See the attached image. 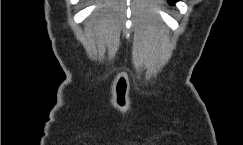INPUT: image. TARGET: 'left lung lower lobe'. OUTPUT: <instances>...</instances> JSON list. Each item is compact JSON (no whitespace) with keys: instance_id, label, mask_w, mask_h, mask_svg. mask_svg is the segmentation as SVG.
Returning <instances> with one entry per match:
<instances>
[{"instance_id":"0a47b994","label":"left lung lower lobe","mask_w":243,"mask_h":145,"mask_svg":"<svg viewBox=\"0 0 243 145\" xmlns=\"http://www.w3.org/2000/svg\"><path fill=\"white\" fill-rule=\"evenodd\" d=\"M174 2H176V0H170V3H174Z\"/></svg>"}]
</instances>
